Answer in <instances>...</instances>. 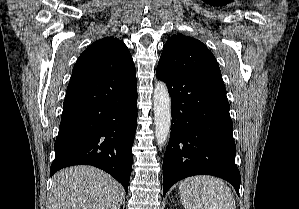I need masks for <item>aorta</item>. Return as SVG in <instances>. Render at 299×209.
Segmentation results:
<instances>
[{"label":"aorta","instance_id":"762f6f07","mask_svg":"<svg viewBox=\"0 0 299 209\" xmlns=\"http://www.w3.org/2000/svg\"><path fill=\"white\" fill-rule=\"evenodd\" d=\"M155 137L158 146H163L170 135L171 127V99L164 82L155 84L153 93Z\"/></svg>","mask_w":299,"mask_h":209}]
</instances>
